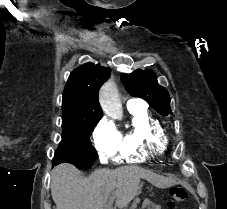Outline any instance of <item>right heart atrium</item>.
Wrapping results in <instances>:
<instances>
[{"instance_id": "1", "label": "right heart atrium", "mask_w": 227, "mask_h": 209, "mask_svg": "<svg viewBox=\"0 0 227 209\" xmlns=\"http://www.w3.org/2000/svg\"><path fill=\"white\" fill-rule=\"evenodd\" d=\"M120 141V132L108 120H101L93 132V143L102 161L108 160L116 151Z\"/></svg>"}]
</instances>
